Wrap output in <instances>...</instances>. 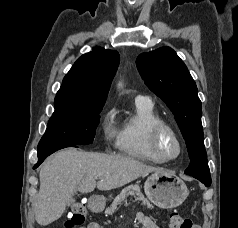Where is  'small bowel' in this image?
Returning <instances> with one entry per match:
<instances>
[{"label":"small bowel","instance_id":"1","mask_svg":"<svg viewBox=\"0 0 238 228\" xmlns=\"http://www.w3.org/2000/svg\"><path fill=\"white\" fill-rule=\"evenodd\" d=\"M137 219L143 226V228H159L157 224L144 213H138ZM86 228H101V226L97 222H91L87 225Z\"/></svg>","mask_w":238,"mask_h":228}]
</instances>
